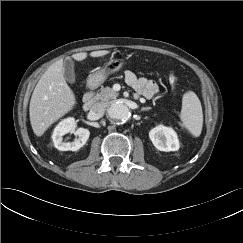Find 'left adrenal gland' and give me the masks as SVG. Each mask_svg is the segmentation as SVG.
I'll use <instances>...</instances> for the list:
<instances>
[{"label": "left adrenal gland", "mask_w": 243, "mask_h": 243, "mask_svg": "<svg viewBox=\"0 0 243 243\" xmlns=\"http://www.w3.org/2000/svg\"><path fill=\"white\" fill-rule=\"evenodd\" d=\"M150 109H151L150 107H147V108H143L142 110L147 111V110H150Z\"/></svg>", "instance_id": "1"}]
</instances>
